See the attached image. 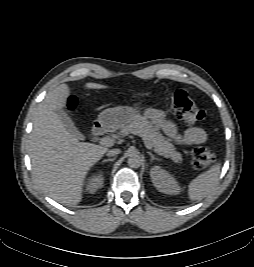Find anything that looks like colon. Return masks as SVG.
<instances>
[{
	"mask_svg": "<svg viewBox=\"0 0 254 267\" xmlns=\"http://www.w3.org/2000/svg\"><path fill=\"white\" fill-rule=\"evenodd\" d=\"M170 103L174 114L187 123L199 122L205 117V112L196 105L184 90L172 91ZM76 104L74 98H69L68 107L70 109H74ZM191 159L192 166L195 169H204L214 162L215 155L209 148L196 147L192 151Z\"/></svg>",
	"mask_w": 254,
	"mask_h": 267,
	"instance_id": "obj_1",
	"label": "colon"
}]
</instances>
